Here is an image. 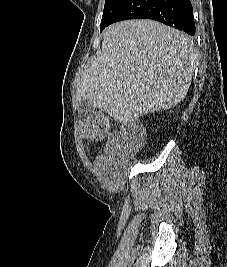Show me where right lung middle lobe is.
<instances>
[{
    "label": "right lung middle lobe",
    "instance_id": "right-lung-middle-lobe-1",
    "mask_svg": "<svg viewBox=\"0 0 227 267\" xmlns=\"http://www.w3.org/2000/svg\"><path fill=\"white\" fill-rule=\"evenodd\" d=\"M127 0H106L104 5V11L101 19L100 29L105 26L114 18L116 13L125 4Z\"/></svg>",
    "mask_w": 227,
    "mask_h": 267
}]
</instances>
